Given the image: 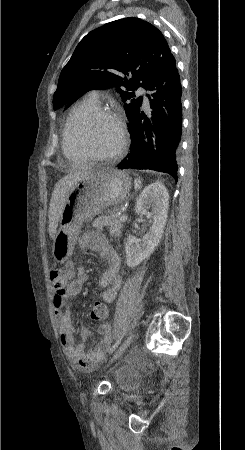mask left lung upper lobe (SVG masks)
Returning <instances> with one entry per match:
<instances>
[{"instance_id":"5c2ea615","label":"left lung upper lobe","mask_w":245,"mask_h":450,"mask_svg":"<svg viewBox=\"0 0 245 450\" xmlns=\"http://www.w3.org/2000/svg\"><path fill=\"white\" fill-rule=\"evenodd\" d=\"M172 56L162 33L150 23L129 17L103 25L87 34L63 68L53 97L58 109L92 89L116 87L122 101L134 97ZM130 76L131 79L122 76ZM142 97L124 104L130 120L140 111Z\"/></svg>"}]
</instances>
